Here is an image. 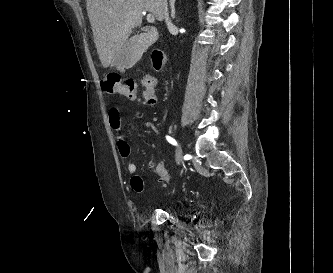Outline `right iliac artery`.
I'll use <instances>...</instances> for the list:
<instances>
[{"mask_svg":"<svg viewBox=\"0 0 333 273\" xmlns=\"http://www.w3.org/2000/svg\"><path fill=\"white\" fill-rule=\"evenodd\" d=\"M166 139L169 143H171L172 145L177 146V142L174 138L170 137V136H166Z\"/></svg>","mask_w":333,"mask_h":273,"instance_id":"right-iliac-artery-1","label":"right iliac artery"}]
</instances>
